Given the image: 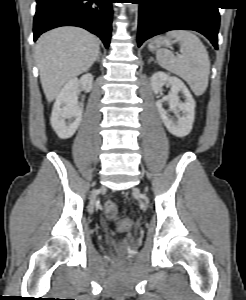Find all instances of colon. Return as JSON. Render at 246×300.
Segmentation results:
<instances>
[{"mask_svg": "<svg viewBox=\"0 0 246 300\" xmlns=\"http://www.w3.org/2000/svg\"><path fill=\"white\" fill-rule=\"evenodd\" d=\"M104 212L108 219L116 222L117 227L120 231H127L131 228V220L127 218L121 219L119 217L117 204L113 200H107L104 203Z\"/></svg>", "mask_w": 246, "mask_h": 300, "instance_id": "5ec220e1", "label": "colon"}]
</instances>
